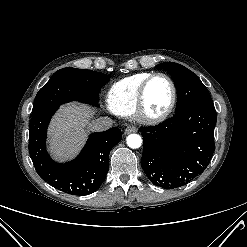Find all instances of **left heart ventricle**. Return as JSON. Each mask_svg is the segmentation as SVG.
<instances>
[{"instance_id": "left-heart-ventricle-1", "label": "left heart ventricle", "mask_w": 247, "mask_h": 247, "mask_svg": "<svg viewBox=\"0 0 247 247\" xmlns=\"http://www.w3.org/2000/svg\"><path fill=\"white\" fill-rule=\"evenodd\" d=\"M172 98L171 85L167 79L157 77L153 79L146 92V112L150 115H158L169 106Z\"/></svg>"}]
</instances>
